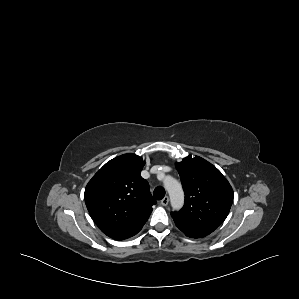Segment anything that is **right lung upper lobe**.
<instances>
[{
	"instance_id": "obj_1",
	"label": "right lung upper lobe",
	"mask_w": 299,
	"mask_h": 299,
	"mask_svg": "<svg viewBox=\"0 0 299 299\" xmlns=\"http://www.w3.org/2000/svg\"><path fill=\"white\" fill-rule=\"evenodd\" d=\"M145 162L124 154L107 162L85 188L87 209L100 230L115 240L137 234L156 201L140 175Z\"/></svg>"
}]
</instances>
